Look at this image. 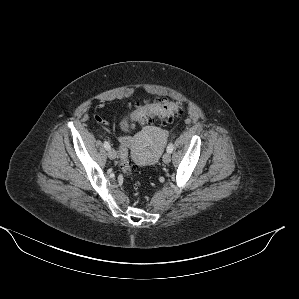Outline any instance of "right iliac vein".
Listing matches in <instances>:
<instances>
[{
    "instance_id": "63e3f726",
    "label": "right iliac vein",
    "mask_w": 299,
    "mask_h": 299,
    "mask_svg": "<svg viewBox=\"0 0 299 299\" xmlns=\"http://www.w3.org/2000/svg\"><path fill=\"white\" fill-rule=\"evenodd\" d=\"M108 157L111 159V160H114L116 159L117 157V153L114 149H109L108 150Z\"/></svg>"
}]
</instances>
